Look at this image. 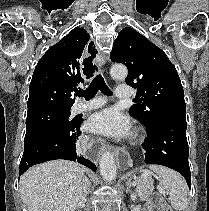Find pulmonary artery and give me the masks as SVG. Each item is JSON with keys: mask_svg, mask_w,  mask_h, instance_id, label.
Instances as JSON below:
<instances>
[{"mask_svg": "<svg viewBox=\"0 0 209 211\" xmlns=\"http://www.w3.org/2000/svg\"><path fill=\"white\" fill-rule=\"evenodd\" d=\"M115 95L118 99H129L133 96V90L128 85H119L116 87ZM106 103L104 97H94L89 101H82L75 105L74 112L80 113L87 110L96 109L102 107Z\"/></svg>", "mask_w": 209, "mask_h": 211, "instance_id": "e3ab8cb5", "label": "pulmonary artery"}]
</instances>
